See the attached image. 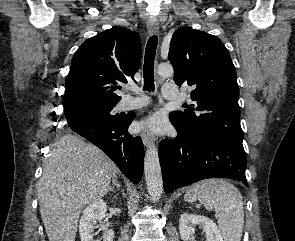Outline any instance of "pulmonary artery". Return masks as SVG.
I'll return each mask as SVG.
<instances>
[{
	"mask_svg": "<svg viewBox=\"0 0 295 241\" xmlns=\"http://www.w3.org/2000/svg\"><path fill=\"white\" fill-rule=\"evenodd\" d=\"M141 97L133 99L130 96H126L122 101V108L124 109H137L148 104L149 100L143 94ZM162 95L165 99L176 101L178 99V89L175 84L166 83L162 86Z\"/></svg>",
	"mask_w": 295,
	"mask_h": 241,
	"instance_id": "obj_1",
	"label": "pulmonary artery"
}]
</instances>
